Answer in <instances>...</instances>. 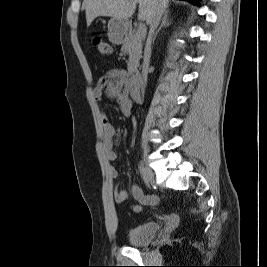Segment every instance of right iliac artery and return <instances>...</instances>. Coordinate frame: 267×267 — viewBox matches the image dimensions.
<instances>
[{
	"instance_id": "right-iliac-artery-1",
	"label": "right iliac artery",
	"mask_w": 267,
	"mask_h": 267,
	"mask_svg": "<svg viewBox=\"0 0 267 267\" xmlns=\"http://www.w3.org/2000/svg\"><path fill=\"white\" fill-rule=\"evenodd\" d=\"M139 171H140L141 175L143 176L145 184L149 187L150 186V180L145 173L144 167L140 165Z\"/></svg>"
}]
</instances>
